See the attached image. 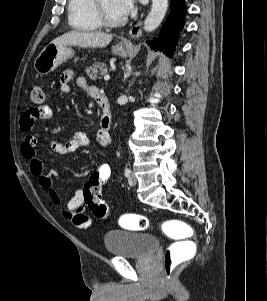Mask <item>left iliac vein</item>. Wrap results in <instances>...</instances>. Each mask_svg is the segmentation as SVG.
I'll list each match as a JSON object with an SVG mask.
<instances>
[{"label": "left iliac vein", "mask_w": 267, "mask_h": 301, "mask_svg": "<svg viewBox=\"0 0 267 301\" xmlns=\"http://www.w3.org/2000/svg\"><path fill=\"white\" fill-rule=\"evenodd\" d=\"M136 183H137V178H136L135 174L132 172L129 176V184L131 186H134V185H136Z\"/></svg>", "instance_id": "4c4485c4"}]
</instances>
